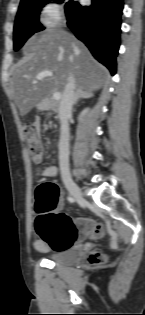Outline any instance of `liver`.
<instances>
[{"mask_svg": "<svg viewBox=\"0 0 145 315\" xmlns=\"http://www.w3.org/2000/svg\"><path fill=\"white\" fill-rule=\"evenodd\" d=\"M23 58L13 72L11 96L20 115L58 91H64L72 74L78 89L90 93L100 89L108 71L97 63L89 50L66 31L48 30L32 36L23 48ZM42 71L53 77L36 81Z\"/></svg>", "mask_w": 145, "mask_h": 315, "instance_id": "liver-1", "label": "liver"}]
</instances>
